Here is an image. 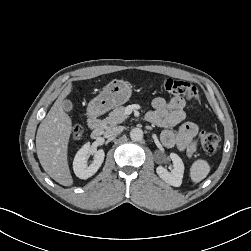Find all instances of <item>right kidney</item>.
I'll list each match as a JSON object with an SVG mask.
<instances>
[{"label":"right kidney","mask_w":251,"mask_h":251,"mask_svg":"<svg viewBox=\"0 0 251 251\" xmlns=\"http://www.w3.org/2000/svg\"><path fill=\"white\" fill-rule=\"evenodd\" d=\"M90 143H86L82 148L77 152L74 161H73V170L75 175L80 179H87L94 175L100 166L102 165L105 157L103 149H99L95 152L94 161L87 166L86 160L87 155L90 152Z\"/></svg>","instance_id":"right-kidney-1"}]
</instances>
